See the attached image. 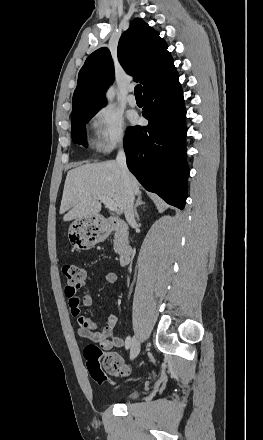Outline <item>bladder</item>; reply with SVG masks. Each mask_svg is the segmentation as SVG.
<instances>
[{
	"label": "bladder",
	"instance_id": "obj_1",
	"mask_svg": "<svg viewBox=\"0 0 263 440\" xmlns=\"http://www.w3.org/2000/svg\"><path fill=\"white\" fill-rule=\"evenodd\" d=\"M139 395H140V390L139 389H133V390L127 392L124 395V398L127 399V400H133V399L137 398Z\"/></svg>",
	"mask_w": 263,
	"mask_h": 440
}]
</instances>
